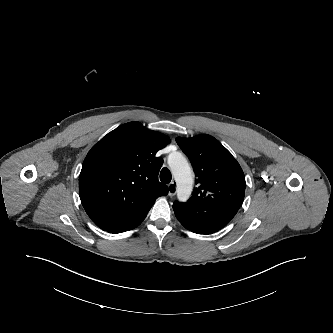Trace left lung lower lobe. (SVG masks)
<instances>
[{
  "label": "left lung lower lobe",
  "instance_id": "1",
  "mask_svg": "<svg viewBox=\"0 0 333 333\" xmlns=\"http://www.w3.org/2000/svg\"><path fill=\"white\" fill-rule=\"evenodd\" d=\"M241 202L236 197L220 198L203 203L174 202L179 222L197 234H211L225 227L235 216Z\"/></svg>",
  "mask_w": 333,
  "mask_h": 333
}]
</instances>
